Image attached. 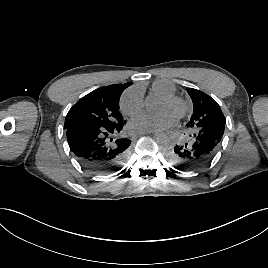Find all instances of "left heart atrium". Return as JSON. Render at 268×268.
<instances>
[{"label": "left heart atrium", "instance_id": "obj_1", "mask_svg": "<svg viewBox=\"0 0 268 268\" xmlns=\"http://www.w3.org/2000/svg\"><path fill=\"white\" fill-rule=\"evenodd\" d=\"M160 123L165 126H173L177 122V115L171 112H163L158 118ZM149 124V118L144 115H136L130 123L133 129H143Z\"/></svg>", "mask_w": 268, "mask_h": 268}]
</instances>
